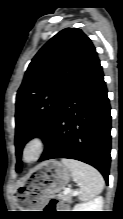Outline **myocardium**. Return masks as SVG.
<instances>
[{
  "mask_svg": "<svg viewBox=\"0 0 123 219\" xmlns=\"http://www.w3.org/2000/svg\"><path fill=\"white\" fill-rule=\"evenodd\" d=\"M45 139L41 134H37L29 138L23 145L21 151V158L27 164L35 163L40 159L44 152ZM32 152V156L29 158L28 153Z\"/></svg>",
  "mask_w": 123,
  "mask_h": 219,
  "instance_id": "obj_1",
  "label": "myocardium"
}]
</instances>
